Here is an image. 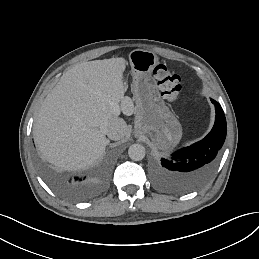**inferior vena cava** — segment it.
<instances>
[{"mask_svg": "<svg viewBox=\"0 0 259 259\" xmlns=\"http://www.w3.org/2000/svg\"><path fill=\"white\" fill-rule=\"evenodd\" d=\"M100 130L107 134L111 140H120L127 135V125L120 118L109 121L105 126H100Z\"/></svg>", "mask_w": 259, "mask_h": 259, "instance_id": "1", "label": "inferior vena cava"}]
</instances>
